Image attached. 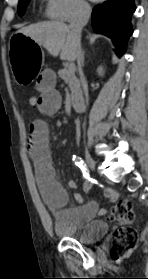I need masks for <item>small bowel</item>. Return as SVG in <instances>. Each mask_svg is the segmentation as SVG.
I'll return each instance as SVG.
<instances>
[{"instance_id": "c3829d8e", "label": "small bowel", "mask_w": 148, "mask_h": 279, "mask_svg": "<svg viewBox=\"0 0 148 279\" xmlns=\"http://www.w3.org/2000/svg\"><path fill=\"white\" fill-rule=\"evenodd\" d=\"M36 87L40 92L38 96L37 110L42 115H53L61 107L62 99L56 88V74L51 69L43 70L37 78ZM29 156L34 164L35 176L41 195L47 206L57 212L64 221L79 225L90 220L96 213L104 214L105 210L98 211L94 202L83 204L79 194L74 195L78 206L63 209L68 196L65 188L56 180L49 149V129L43 120L37 119L30 126V138L28 144ZM70 188H75L73 180L68 182ZM86 187L89 182H86ZM106 198L111 202L118 200V194L111 189L106 190Z\"/></svg>"}]
</instances>
